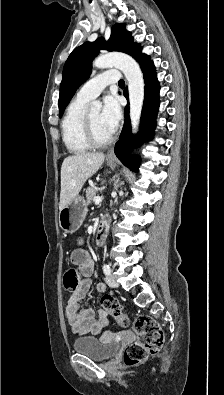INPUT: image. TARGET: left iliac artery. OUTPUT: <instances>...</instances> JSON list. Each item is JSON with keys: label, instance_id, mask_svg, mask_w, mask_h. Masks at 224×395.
I'll return each instance as SVG.
<instances>
[{"label": "left iliac artery", "instance_id": "44dca946", "mask_svg": "<svg viewBox=\"0 0 224 395\" xmlns=\"http://www.w3.org/2000/svg\"><path fill=\"white\" fill-rule=\"evenodd\" d=\"M103 272L105 273V275H110L111 274V269H110V266L108 264H104L103 265Z\"/></svg>", "mask_w": 224, "mask_h": 395}]
</instances>
